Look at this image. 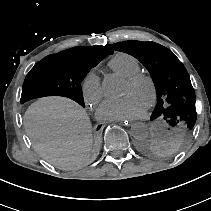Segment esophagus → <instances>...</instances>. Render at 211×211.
Instances as JSON below:
<instances>
[{
	"instance_id": "1",
	"label": "esophagus",
	"mask_w": 211,
	"mask_h": 211,
	"mask_svg": "<svg viewBox=\"0 0 211 211\" xmlns=\"http://www.w3.org/2000/svg\"><path fill=\"white\" fill-rule=\"evenodd\" d=\"M116 124H117V126H119V127H121V126H122V127H123V126H125V127L128 126V127H129V126H131L132 123H131V121H129V120H128V121H126V120H125V121L119 120V121H117Z\"/></svg>"
}]
</instances>
